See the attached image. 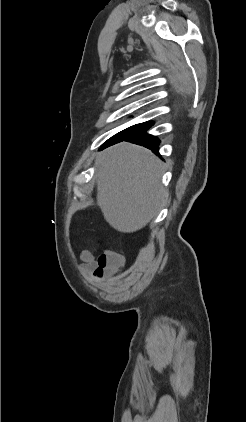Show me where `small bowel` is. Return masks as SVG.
Segmentation results:
<instances>
[{
    "label": "small bowel",
    "instance_id": "c3829d8e",
    "mask_svg": "<svg viewBox=\"0 0 246 422\" xmlns=\"http://www.w3.org/2000/svg\"><path fill=\"white\" fill-rule=\"evenodd\" d=\"M81 258L84 262V270L89 271L92 269H96V263L93 257L88 252H83Z\"/></svg>",
    "mask_w": 246,
    "mask_h": 422
}]
</instances>
